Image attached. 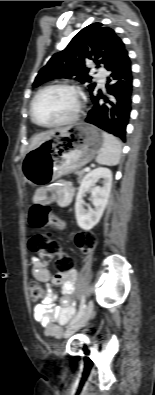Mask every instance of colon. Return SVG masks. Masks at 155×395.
<instances>
[{
    "label": "colon",
    "mask_w": 155,
    "mask_h": 395,
    "mask_svg": "<svg viewBox=\"0 0 155 395\" xmlns=\"http://www.w3.org/2000/svg\"><path fill=\"white\" fill-rule=\"evenodd\" d=\"M48 209L41 205L35 204L31 207L29 212V223L34 228H41L46 226L48 223L49 215ZM95 243V238L90 233H80L75 236V244L82 250L88 251ZM28 247L32 252H40L46 256H57L60 267L62 268L61 273L75 272L76 266L68 250H61L60 245L57 241L50 239L43 234H34L28 242ZM30 296L33 301H36L43 297L44 288L43 286L32 281L29 285Z\"/></svg>",
    "instance_id": "5ec220e1"
}]
</instances>
